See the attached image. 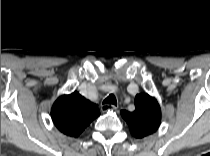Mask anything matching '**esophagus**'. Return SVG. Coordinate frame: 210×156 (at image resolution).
<instances>
[{
  "label": "esophagus",
  "instance_id": "1",
  "mask_svg": "<svg viewBox=\"0 0 210 156\" xmlns=\"http://www.w3.org/2000/svg\"><path fill=\"white\" fill-rule=\"evenodd\" d=\"M115 108H116V106L112 105V104H102L101 105V110L103 112H107V111H110V110L115 109Z\"/></svg>",
  "mask_w": 210,
  "mask_h": 156
}]
</instances>
